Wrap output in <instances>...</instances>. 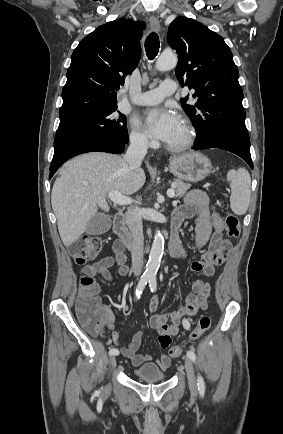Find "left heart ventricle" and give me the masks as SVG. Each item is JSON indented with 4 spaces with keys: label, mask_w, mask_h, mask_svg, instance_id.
<instances>
[{
    "label": "left heart ventricle",
    "mask_w": 283,
    "mask_h": 434,
    "mask_svg": "<svg viewBox=\"0 0 283 434\" xmlns=\"http://www.w3.org/2000/svg\"><path fill=\"white\" fill-rule=\"evenodd\" d=\"M183 136H184V128H183V124L180 121L179 127L175 135L168 141V143L171 144L179 143L183 139Z\"/></svg>",
    "instance_id": "1"
}]
</instances>
